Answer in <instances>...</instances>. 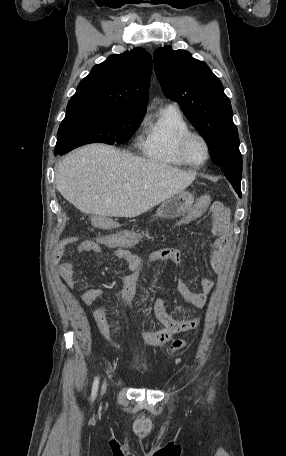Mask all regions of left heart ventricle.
Returning <instances> with one entry per match:
<instances>
[{
	"instance_id": "1",
	"label": "left heart ventricle",
	"mask_w": 286,
	"mask_h": 456,
	"mask_svg": "<svg viewBox=\"0 0 286 456\" xmlns=\"http://www.w3.org/2000/svg\"><path fill=\"white\" fill-rule=\"evenodd\" d=\"M186 152L190 161L195 164L202 163L206 158L205 146L203 142L197 137H193L189 140L186 147Z\"/></svg>"
}]
</instances>
